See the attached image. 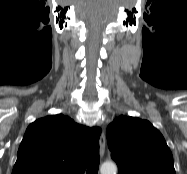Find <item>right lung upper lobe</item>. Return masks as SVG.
I'll return each instance as SVG.
<instances>
[{"instance_id":"cb5924a9","label":"right lung upper lobe","mask_w":187,"mask_h":174,"mask_svg":"<svg viewBox=\"0 0 187 174\" xmlns=\"http://www.w3.org/2000/svg\"><path fill=\"white\" fill-rule=\"evenodd\" d=\"M100 133L62 114L36 120L25 132L12 174H83L89 156L98 153Z\"/></svg>"}]
</instances>
